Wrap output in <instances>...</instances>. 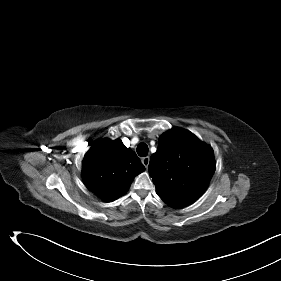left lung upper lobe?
I'll return each mask as SVG.
<instances>
[{
	"mask_svg": "<svg viewBox=\"0 0 281 281\" xmlns=\"http://www.w3.org/2000/svg\"><path fill=\"white\" fill-rule=\"evenodd\" d=\"M214 152L191 132L176 127L162 134L152 154L149 174L158 196L181 208L196 201L215 172Z\"/></svg>",
	"mask_w": 281,
	"mask_h": 281,
	"instance_id": "obj_1",
	"label": "left lung upper lobe"
}]
</instances>
